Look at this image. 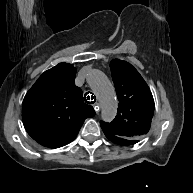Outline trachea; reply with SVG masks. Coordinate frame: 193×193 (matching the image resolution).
<instances>
[{
  "label": "trachea",
  "mask_w": 193,
  "mask_h": 193,
  "mask_svg": "<svg viewBox=\"0 0 193 193\" xmlns=\"http://www.w3.org/2000/svg\"><path fill=\"white\" fill-rule=\"evenodd\" d=\"M89 93H91L92 94V92H87L86 94H85V102L87 103V104H94V102L96 101V98H94V96H92V95H88ZM88 95V96H87ZM87 96V97H86ZM94 99V100H93Z\"/></svg>",
  "instance_id": "3493384b"
}]
</instances>
